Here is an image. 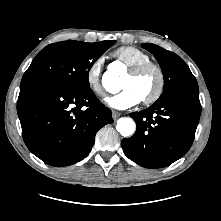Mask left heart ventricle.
Instances as JSON below:
<instances>
[{
  "label": "left heart ventricle",
  "mask_w": 221,
  "mask_h": 221,
  "mask_svg": "<svg viewBox=\"0 0 221 221\" xmlns=\"http://www.w3.org/2000/svg\"><path fill=\"white\" fill-rule=\"evenodd\" d=\"M157 84V74L154 70H148L141 75L132 76L128 72L121 81V88H133L141 99L149 96Z\"/></svg>",
  "instance_id": "obj_1"
}]
</instances>
